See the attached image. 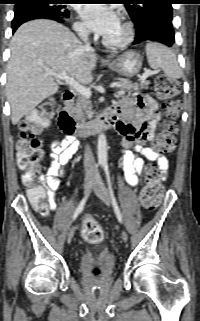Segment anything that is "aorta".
<instances>
[{"instance_id": "762f6f07", "label": "aorta", "mask_w": 200, "mask_h": 321, "mask_svg": "<svg viewBox=\"0 0 200 321\" xmlns=\"http://www.w3.org/2000/svg\"><path fill=\"white\" fill-rule=\"evenodd\" d=\"M97 156L99 164L107 162V140L104 133H100L98 136Z\"/></svg>"}]
</instances>
